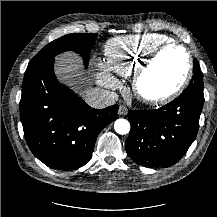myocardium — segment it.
I'll list each match as a JSON object with an SVG mask.
<instances>
[{"label":"myocardium","mask_w":217,"mask_h":217,"mask_svg":"<svg viewBox=\"0 0 217 217\" xmlns=\"http://www.w3.org/2000/svg\"><path fill=\"white\" fill-rule=\"evenodd\" d=\"M181 49L184 51L187 57V71L182 78L181 82L170 92L159 95V96H148L145 95L141 90V83L147 72L151 69L156 60L160 57V55L169 49ZM193 76V57L190 50L177 42H168L159 47H157L154 51H152L149 56L142 61L137 70L135 71L132 79V89L135 96L143 103L148 105H162L169 103L175 99H177L188 87Z\"/></svg>","instance_id":"myocardium-1"}]
</instances>
